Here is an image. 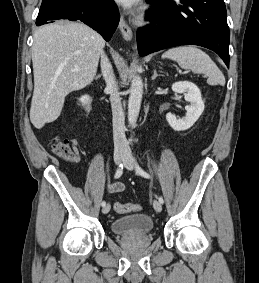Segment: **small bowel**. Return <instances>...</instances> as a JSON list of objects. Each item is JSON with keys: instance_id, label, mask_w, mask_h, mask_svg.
I'll return each mask as SVG.
<instances>
[{"instance_id": "small-bowel-1", "label": "small bowel", "mask_w": 259, "mask_h": 283, "mask_svg": "<svg viewBox=\"0 0 259 283\" xmlns=\"http://www.w3.org/2000/svg\"><path fill=\"white\" fill-rule=\"evenodd\" d=\"M125 186L121 182L113 183V184H108L107 185V191L110 193H119L124 191Z\"/></svg>"}]
</instances>
